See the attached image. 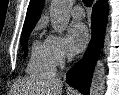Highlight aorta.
Segmentation results:
<instances>
[{"label": "aorta", "instance_id": "1", "mask_svg": "<svg viewBox=\"0 0 119 95\" xmlns=\"http://www.w3.org/2000/svg\"><path fill=\"white\" fill-rule=\"evenodd\" d=\"M74 0H52L50 6L51 23L54 30L62 35L70 20V11ZM105 87V65L102 59L96 63L91 87L90 95H103Z\"/></svg>", "mask_w": 119, "mask_h": 95}]
</instances>
